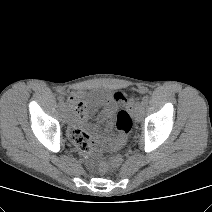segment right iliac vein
I'll return each mask as SVG.
<instances>
[{
    "label": "right iliac vein",
    "mask_w": 212,
    "mask_h": 212,
    "mask_svg": "<svg viewBox=\"0 0 212 212\" xmlns=\"http://www.w3.org/2000/svg\"><path fill=\"white\" fill-rule=\"evenodd\" d=\"M63 120L65 123H69V121H70V114L67 111V109L63 110Z\"/></svg>",
    "instance_id": "obj_1"
}]
</instances>
